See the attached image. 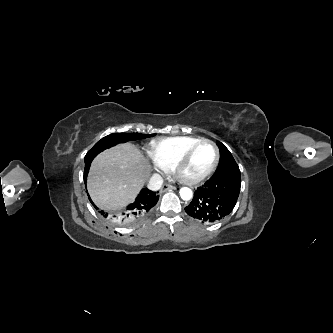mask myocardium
Returning a JSON list of instances; mask_svg holds the SVG:
<instances>
[{
    "mask_svg": "<svg viewBox=\"0 0 333 333\" xmlns=\"http://www.w3.org/2000/svg\"><path fill=\"white\" fill-rule=\"evenodd\" d=\"M203 144H210L215 148L216 158H215V161H214L213 165L210 167V169L208 171H206L205 173H203L200 176H197V177H194V178H185V177H183L182 176L183 168L185 167V165L187 164V162L191 158L194 151L199 146H201ZM220 158H221V153H220V150H219L218 146L216 145V143L213 142L212 140H209V139H201L200 141L196 142L191 147H189L179 157V159L177 160V162L175 163V165L173 167V172H174L175 176L185 184H188V185L198 184V183L202 182L203 180H205L206 178H208L211 174H213V172L216 170V168L219 165Z\"/></svg>",
    "mask_w": 333,
    "mask_h": 333,
    "instance_id": "obj_1",
    "label": "myocardium"
}]
</instances>
